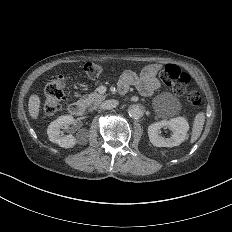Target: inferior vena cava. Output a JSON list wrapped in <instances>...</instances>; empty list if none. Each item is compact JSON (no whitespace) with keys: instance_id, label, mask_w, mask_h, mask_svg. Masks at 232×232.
<instances>
[{"instance_id":"obj_1","label":"inferior vena cava","mask_w":232,"mask_h":232,"mask_svg":"<svg viewBox=\"0 0 232 232\" xmlns=\"http://www.w3.org/2000/svg\"><path fill=\"white\" fill-rule=\"evenodd\" d=\"M118 103L119 102L115 99L106 100L101 104V108L106 109V110H110L112 108H115L118 105Z\"/></svg>"}]
</instances>
